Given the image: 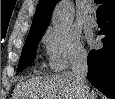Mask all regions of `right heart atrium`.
<instances>
[{
	"label": "right heart atrium",
	"mask_w": 115,
	"mask_h": 99,
	"mask_svg": "<svg viewBox=\"0 0 115 99\" xmlns=\"http://www.w3.org/2000/svg\"><path fill=\"white\" fill-rule=\"evenodd\" d=\"M48 66L52 71H63L86 58L79 35L71 30L50 27L42 37Z\"/></svg>",
	"instance_id": "right-heart-atrium-1"
}]
</instances>
